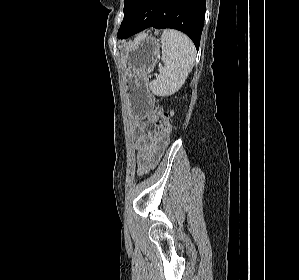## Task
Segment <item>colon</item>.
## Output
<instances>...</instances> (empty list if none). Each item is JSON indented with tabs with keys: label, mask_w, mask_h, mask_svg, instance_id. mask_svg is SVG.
Returning a JSON list of instances; mask_svg holds the SVG:
<instances>
[{
	"label": "colon",
	"mask_w": 299,
	"mask_h": 280,
	"mask_svg": "<svg viewBox=\"0 0 299 280\" xmlns=\"http://www.w3.org/2000/svg\"><path fill=\"white\" fill-rule=\"evenodd\" d=\"M150 120L163 132L170 135L172 132V123L170 114L161 107H156L149 115Z\"/></svg>",
	"instance_id": "5ec220e1"
}]
</instances>
